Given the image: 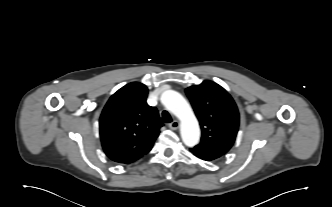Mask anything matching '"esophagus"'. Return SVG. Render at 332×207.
Wrapping results in <instances>:
<instances>
[{"label": "esophagus", "instance_id": "1", "mask_svg": "<svg viewBox=\"0 0 332 207\" xmlns=\"http://www.w3.org/2000/svg\"><path fill=\"white\" fill-rule=\"evenodd\" d=\"M169 128L172 130H177L179 128V122L174 120L172 123L169 124Z\"/></svg>", "mask_w": 332, "mask_h": 207}]
</instances>
